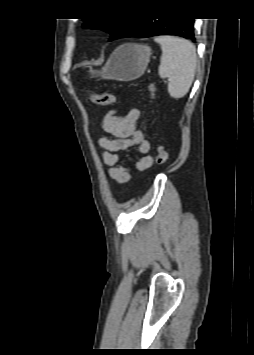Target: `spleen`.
<instances>
[{
    "label": "spleen",
    "mask_w": 254,
    "mask_h": 355,
    "mask_svg": "<svg viewBox=\"0 0 254 355\" xmlns=\"http://www.w3.org/2000/svg\"><path fill=\"white\" fill-rule=\"evenodd\" d=\"M162 57L159 66L161 78H168V93L172 98L184 97L194 80L197 55L195 46L188 40L174 36H158Z\"/></svg>",
    "instance_id": "spleen-1"
}]
</instances>
